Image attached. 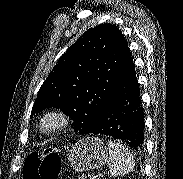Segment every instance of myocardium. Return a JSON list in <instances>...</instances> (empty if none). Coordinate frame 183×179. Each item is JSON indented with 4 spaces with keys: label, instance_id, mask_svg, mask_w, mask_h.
Masks as SVG:
<instances>
[{
    "label": "myocardium",
    "instance_id": "1",
    "mask_svg": "<svg viewBox=\"0 0 183 179\" xmlns=\"http://www.w3.org/2000/svg\"><path fill=\"white\" fill-rule=\"evenodd\" d=\"M69 124V116L60 109L47 111L40 120V129L45 133H53L65 128Z\"/></svg>",
    "mask_w": 183,
    "mask_h": 179
}]
</instances>
